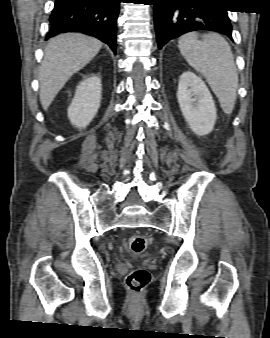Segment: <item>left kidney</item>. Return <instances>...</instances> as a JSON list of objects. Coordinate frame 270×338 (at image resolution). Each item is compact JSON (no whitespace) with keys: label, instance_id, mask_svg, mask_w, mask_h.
Returning a JSON list of instances; mask_svg holds the SVG:
<instances>
[{"label":"left kidney","instance_id":"obj_1","mask_svg":"<svg viewBox=\"0 0 270 338\" xmlns=\"http://www.w3.org/2000/svg\"><path fill=\"white\" fill-rule=\"evenodd\" d=\"M177 99L187 124L196 135L204 136L213 130L216 108L209 89L200 77L190 71L182 73Z\"/></svg>","mask_w":270,"mask_h":338}]
</instances>
